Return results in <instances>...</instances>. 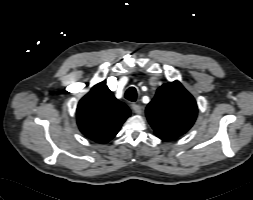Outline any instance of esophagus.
<instances>
[{
    "label": "esophagus",
    "instance_id": "34e87169",
    "mask_svg": "<svg viewBox=\"0 0 253 200\" xmlns=\"http://www.w3.org/2000/svg\"><path fill=\"white\" fill-rule=\"evenodd\" d=\"M132 109L136 114L142 113V107L137 104H132Z\"/></svg>",
    "mask_w": 253,
    "mask_h": 200
}]
</instances>
